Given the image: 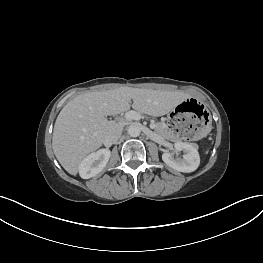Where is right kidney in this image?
Segmentation results:
<instances>
[{
  "label": "right kidney",
  "mask_w": 263,
  "mask_h": 263,
  "mask_svg": "<svg viewBox=\"0 0 263 263\" xmlns=\"http://www.w3.org/2000/svg\"><path fill=\"white\" fill-rule=\"evenodd\" d=\"M110 156V150L100 149L85 157L78 167L80 177L89 179L99 174L107 165Z\"/></svg>",
  "instance_id": "obj_1"
}]
</instances>
